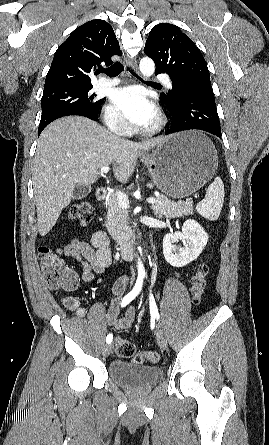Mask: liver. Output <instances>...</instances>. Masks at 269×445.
<instances>
[{
	"mask_svg": "<svg viewBox=\"0 0 269 445\" xmlns=\"http://www.w3.org/2000/svg\"><path fill=\"white\" fill-rule=\"evenodd\" d=\"M165 139L130 142L81 116L52 122L39 137L32 170L39 234L50 232L73 198L77 184H93L99 170L110 164L115 178L127 182L140 152Z\"/></svg>",
	"mask_w": 269,
	"mask_h": 445,
	"instance_id": "1",
	"label": "liver"
}]
</instances>
